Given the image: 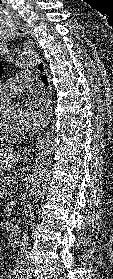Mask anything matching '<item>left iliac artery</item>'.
Returning a JSON list of instances; mask_svg holds the SVG:
<instances>
[{
    "label": "left iliac artery",
    "mask_w": 113,
    "mask_h": 279,
    "mask_svg": "<svg viewBox=\"0 0 113 279\" xmlns=\"http://www.w3.org/2000/svg\"><path fill=\"white\" fill-rule=\"evenodd\" d=\"M26 277H27V279H29V277H30V276H29V275H27Z\"/></svg>",
    "instance_id": "44dca946"
}]
</instances>
